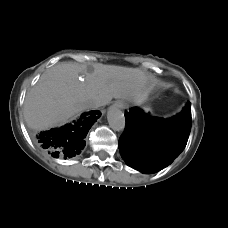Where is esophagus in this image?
I'll return each instance as SVG.
<instances>
[{"mask_svg": "<svg viewBox=\"0 0 228 228\" xmlns=\"http://www.w3.org/2000/svg\"><path fill=\"white\" fill-rule=\"evenodd\" d=\"M114 106L117 107V108H119V109H125V105L121 101L115 102Z\"/></svg>", "mask_w": 228, "mask_h": 228, "instance_id": "esophagus-1", "label": "esophagus"}]
</instances>
